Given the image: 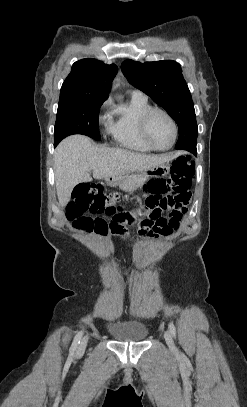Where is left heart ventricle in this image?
Here are the masks:
<instances>
[{
    "label": "left heart ventricle",
    "mask_w": 247,
    "mask_h": 407,
    "mask_svg": "<svg viewBox=\"0 0 247 407\" xmlns=\"http://www.w3.org/2000/svg\"><path fill=\"white\" fill-rule=\"evenodd\" d=\"M148 135L155 146L159 148L169 146L173 139L171 122L162 114H154L148 123Z\"/></svg>",
    "instance_id": "1"
}]
</instances>
